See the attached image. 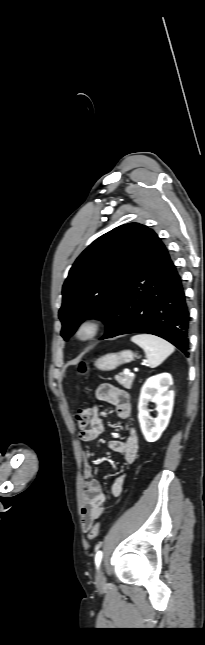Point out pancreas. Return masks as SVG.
I'll list each match as a JSON object with an SVG mask.
<instances>
[{
  "label": "pancreas",
  "mask_w": 205,
  "mask_h": 645,
  "mask_svg": "<svg viewBox=\"0 0 205 645\" xmlns=\"http://www.w3.org/2000/svg\"><path fill=\"white\" fill-rule=\"evenodd\" d=\"M115 380L124 388L126 389H131L134 376H130L128 374L120 373L119 375L115 376Z\"/></svg>",
  "instance_id": "1"
}]
</instances>
